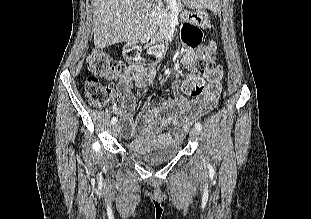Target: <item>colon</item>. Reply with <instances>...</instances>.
Wrapping results in <instances>:
<instances>
[{"instance_id":"5ec220e1","label":"colon","mask_w":311,"mask_h":219,"mask_svg":"<svg viewBox=\"0 0 311 219\" xmlns=\"http://www.w3.org/2000/svg\"><path fill=\"white\" fill-rule=\"evenodd\" d=\"M183 40L192 45H198L201 34L200 30L192 25L186 24L182 29ZM160 50L157 55H160ZM215 45L213 43L201 48L193 61L189 64L191 70L196 74L189 78L185 84V91L188 94H199L203 89V81L199 76L217 69L214 64ZM87 67L90 71L85 85L84 93L86 99L94 106L104 107L115 100L116 95L111 85L103 84L100 78L115 80L126 75L125 67L113 60L105 51L93 49L87 57Z\"/></svg>"}]
</instances>
